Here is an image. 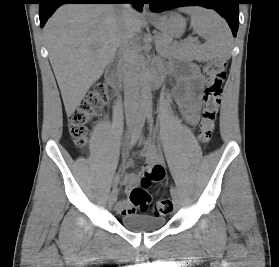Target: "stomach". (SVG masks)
I'll list each match as a JSON object with an SVG mask.
<instances>
[{
  "label": "stomach",
  "mask_w": 279,
  "mask_h": 267,
  "mask_svg": "<svg viewBox=\"0 0 279 267\" xmlns=\"http://www.w3.org/2000/svg\"><path fill=\"white\" fill-rule=\"evenodd\" d=\"M152 24L167 37H179L186 28V20L176 12H170L162 16H157Z\"/></svg>",
  "instance_id": "obj_1"
}]
</instances>
